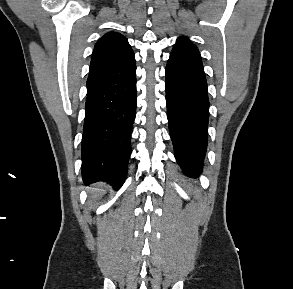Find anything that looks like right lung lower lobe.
<instances>
[{"mask_svg":"<svg viewBox=\"0 0 293 289\" xmlns=\"http://www.w3.org/2000/svg\"><path fill=\"white\" fill-rule=\"evenodd\" d=\"M82 138V178L119 189L131 155L132 125L136 116V75L86 97Z\"/></svg>","mask_w":293,"mask_h":289,"instance_id":"obj_1","label":"right lung lower lobe"}]
</instances>
